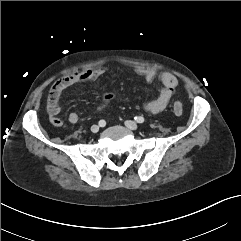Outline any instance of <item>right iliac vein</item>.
<instances>
[{
	"instance_id": "1",
	"label": "right iliac vein",
	"mask_w": 241,
	"mask_h": 241,
	"mask_svg": "<svg viewBox=\"0 0 241 241\" xmlns=\"http://www.w3.org/2000/svg\"><path fill=\"white\" fill-rule=\"evenodd\" d=\"M91 131H92V133H97V132L99 131V126L93 125V126L91 127Z\"/></svg>"
}]
</instances>
